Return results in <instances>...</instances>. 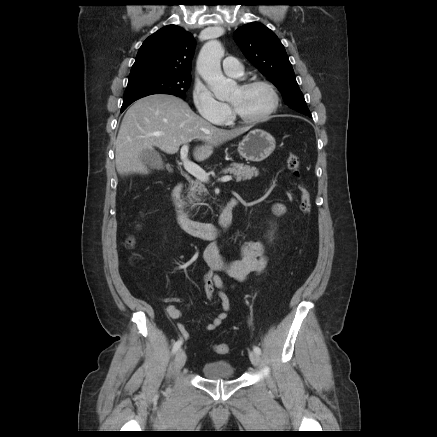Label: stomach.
<instances>
[{"label": "stomach", "mask_w": 437, "mask_h": 437, "mask_svg": "<svg viewBox=\"0 0 437 437\" xmlns=\"http://www.w3.org/2000/svg\"><path fill=\"white\" fill-rule=\"evenodd\" d=\"M276 142L268 132L255 129L250 131L238 144L239 154L247 161L260 162L275 150Z\"/></svg>", "instance_id": "stomach-1"}]
</instances>
